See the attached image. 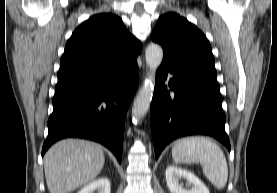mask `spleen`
<instances>
[{"mask_svg":"<svg viewBox=\"0 0 277 193\" xmlns=\"http://www.w3.org/2000/svg\"><path fill=\"white\" fill-rule=\"evenodd\" d=\"M172 158L176 163L192 164L200 162L206 178L222 190L228 179V166L221 148L209 138L191 136L177 140L172 148Z\"/></svg>","mask_w":277,"mask_h":193,"instance_id":"obj_1","label":"spleen"}]
</instances>
